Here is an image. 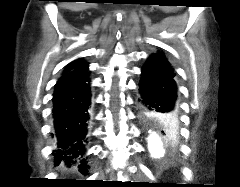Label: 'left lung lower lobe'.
<instances>
[{
  "instance_id": "left-lung-lower-lobe-1",
  "label": "left lung lower lobe",
  "mask_w": 240,
  "mask_h": 187,
  "mask_svg": "<svg viewBox=\"0 0 240 187\" xmlns=\"http://www.w3.org/2000/svg\"><path fill=\"white\" fill-rule=\"evenodd\" d=\"M137 106L144 121H159L171 130L178 125L176 74L156 56L142 68Z\"/></svg>"
}]
</instances>
